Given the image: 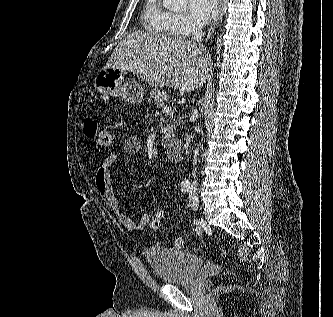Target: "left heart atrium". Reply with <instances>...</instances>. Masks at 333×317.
I'll return each instance as SVG.
<instances>
[{
    "mask_svg": "<svg viewBox=\"0 0 333 317\" xmlns=\"http://www.w3.org/2000/svg\"><path fill=\"white\" fill-rule=\"evenodd\" d=\"M217 12V0H189L188 14L197 25L207 23Z\"/></svg>",
    "mask_w": 333,
    "mask_h": 317,
    "instance_id": "obj_1",
    "label": "left heart atrium"
}]
</instances>
